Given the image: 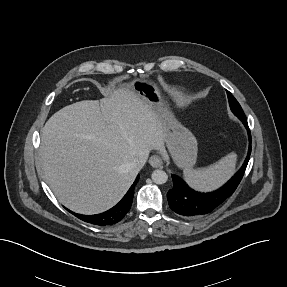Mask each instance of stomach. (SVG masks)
Returning a JSON list of instances; mask_svg holds the SVG:
<instances>
[{
  "label": "stomach",
  "instance_id": "obj_1",
  "mask_svg": "<svg viewBox=\"0 0 287 287\" xmlns=\"http://www.w3.org/2000/svg\"><path fill=\"white\" fill-rule=\"evenodd\" d=\"M116 88L133 90L161 118L165 126V143L173 160L181 168H191L197 158V140L170 111L160 84L146 78L120 82Z\"/></svg>",
  "mask_w": 287,
  "mask_h": 287
}]
</instances>
